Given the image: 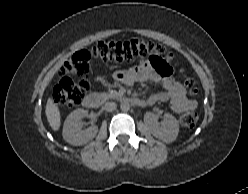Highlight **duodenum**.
Masks as SVG:
<instances>
[{"label": "duodenum", "instance_id": "410a0bca", "mask_svg": "<svg viewBox=\"0 0 248 194\" xmlns=\"http://www.w3.org/2000/svg\"><path fill=\"white\" fill-rule=\"evenodd\" d=\"M122 100L124 102L131 103V104L138 106V107H144L147 105L146 101H144L142 99H138V98L123 97ZM101 101H102L101 95H99L97 93H91V94H88L84 98L83 106L86 108H96L100 105Z\"/></svg>", "mask_w": 248, "mask_h": 194}]
</instances>
